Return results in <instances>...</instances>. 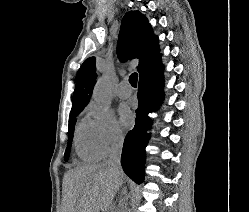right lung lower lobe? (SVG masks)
<instances>
[{
	"label": "right lung lower lobe",
	"mask_w": 249,
	"mask_h": 212,
	"mask_svg": "<svg viewBox=\"0 0 249 212\" xmlns=\"http://www.w3.org/2000/svg\"><path fill=\"white\" fill-rule=\"evenodd\" d=\"M163 65L160 59L139 74L138 100L134 128L126 135L121 164L124 172L137 184L143 182L145 147L149 140L146 130L151 126L148 113L155 111L163 100Z\"/></svg>",
	"instance_id": "obj_1"
}]
</instances>
